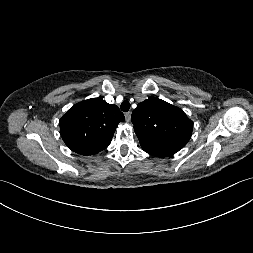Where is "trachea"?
Here are the masks:
<instances>
[{
	"label": "trachea",
	"mask_w": 253,
	"mask_h": 253,
	"mask_svg": "<svg viewBox=\"0 0 253 253\" xmlns=\"http://www.w3.org/2000/svg\"><path fill=\"white\" fill-rule=\"evenodd\" d=\"M120 108L123 112H127L130 109V103L128 101H124L122 102Z\"/></svg>",
	"instance_id": "3493384b"
}]
</instances>
